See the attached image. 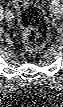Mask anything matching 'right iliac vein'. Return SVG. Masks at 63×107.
Masks as SVG:
<instances>
[{
	"mask_svg": "<svg viewBox=\"0 0 63 107\" xmlns=\"http://www.w3.org/2000/svg\"><path fill=\"white\" fill-rule=\"evenodd\" d=\"M5 18L7 21H11L13 19V15L11 12H6Z\"/></svg>",
	"mask_w": 63,
	"mask_h": 107,
	"instance_id": "63e3f726",
	"label": "right iliac vein"
}]
</instances>
